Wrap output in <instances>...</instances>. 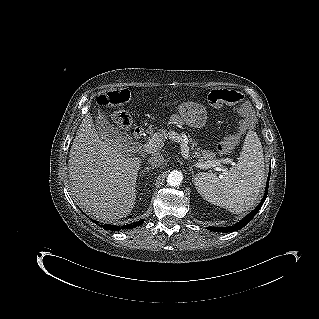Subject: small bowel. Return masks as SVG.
I'll return each mask as SVG.
<instances>
[{
    "label": "small bowel",
    "mask_w": 319,
    "mask_h": 319,
    "mask_svg": "<svg viewBox=\"0 0 319 319\" xmlns=\"http://www.w3.org/2000/svg\"><path fill=\"white\" fill-rule=\"evenodd\" d=\"M172 121L177 124L179 123V118L177 116H173Z\"/></svg>",
    "instance_id": "c3829d8e"
}]
</instances>
